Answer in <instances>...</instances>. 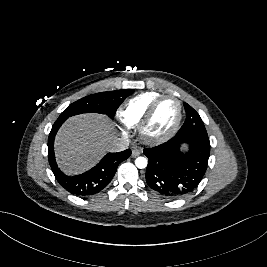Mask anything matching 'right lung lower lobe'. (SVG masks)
Wrapping results in <instances>:
<instances>
[{
  "label": "right lung lower lobe",
  "instance_id": "1",
  "mask_svg": "<svg viewBox=\"0 0 267 267\" xmlns=\"http://www.w3.org/2000/svg\"><path fill=\"white\" fill-rule=\"evenodd\" d=\"M63 122H55L48 138V159L50 167L59 184L76 196H90L105 188L116 173L118 165L131 155L127 149L118 153H108L91 170L76 176L65 175L57 166L54 155L55 135Z\"/></svg>",
  "mask_w": 267,
  "mask_h": 267
}]
</instances>
